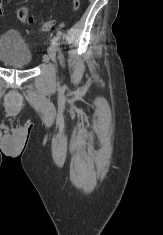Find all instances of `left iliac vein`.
Listing matches in <instances>:
<instances>
[{"label": "left iliac vein", "mask_w": 163, "mask_h": 235, "mask_svg": "<svg viewBox=\"0 0 163 235\" xmlns=\"http://www.w3.org/2000/svg\"><path fill=\"white\" fill-rule=\"evenodd\" d=\"M48 56L49 58L55 62V58H56V47L54 45H50L48 47Z\"/></svg>", "instance_id": "1"}]
</instances>
